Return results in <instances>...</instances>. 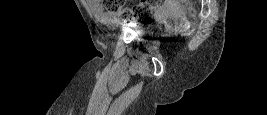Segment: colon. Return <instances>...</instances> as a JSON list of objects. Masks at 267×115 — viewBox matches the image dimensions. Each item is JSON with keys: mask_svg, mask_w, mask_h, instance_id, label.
<instances>
[{"mask_svg": "<svg viewBox=\"0 0 267 115\" xmlns=\"http://www.w3.org/2000/svg\"><path fill=\"white\" fill-rule=\"evenodd\" d=\"M160 2L159 0H142L132 7H126L124 0H103V5L108 13L127 22L148 20L152 8L159 5ZM178 2L188 3L189 0H179Z\"/></svg>", "mask_w": 267, "mask_h": 115, "instance_id": "5ec220e1", "label": "colon"}]
</instances>
